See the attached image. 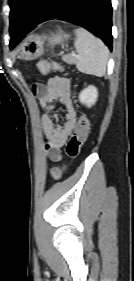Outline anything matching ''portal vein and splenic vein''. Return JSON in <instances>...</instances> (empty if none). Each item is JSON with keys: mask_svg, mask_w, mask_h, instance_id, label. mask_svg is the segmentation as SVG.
<instances>
[{"mask_svg": "<svg viewBox=\"0 0 134 281\" xmlns=\"http://www.w3.org/2000/svg\"><path fill=\"white\" fill-rule=\"evenodd\" d=\"M72 55H73V56H76V54H75L74 52H72Z\"/></svg>", "mask_w": 134, "mask_h": 281, "instance_id": "obj_1", "label": "portal vein and splenic vein"}]
</instances>
